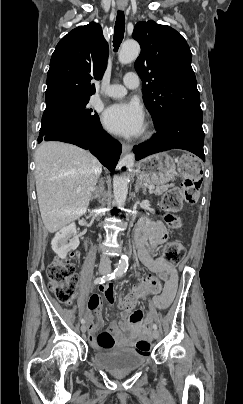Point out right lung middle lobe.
<instances>
[{"label": "right lung middle lobe", "instance_id": "dd1d6c3e", "mask_svg": "<svg viewBox=\"0 0 243 404\" xmlns=\"http://www.w3.org/2000/svg\"><path fill=\"white\" fill-rule=\"evenodd\" d=\"M89 99L90 97H75L47 103L41 121L38 141L41 142L45 134L64 121L99 124L100 120L97 113L87 107Z\"/></svg>", "mask_w": 243, "mask_h": 404}]
</instances>
